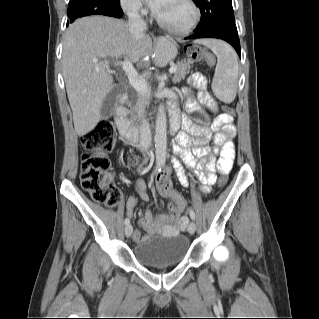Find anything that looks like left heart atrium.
Returning <instances> with one entry per match:
<instances>
[{
  "instance_id": "39dd6f15",
  "label": "left heart atrium",
  "mask_w": 319,
  "mask_h": 319,
  "mask_svg": "<svg viewBox=\"0 0 319 319\" xmlns=\"http://www.w3.org/2000/svg\"><path fill=\"white\" fill-rule=\"evenodd\" d=\"M166 0H146V3L148 4V6L156 13L158 14L164 4H165Z\"/></svg>"
}]
</instances>
